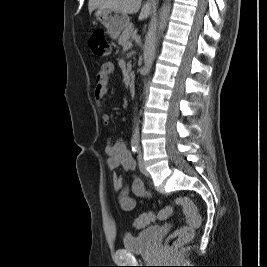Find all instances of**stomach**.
<instances>
[{
    "label": "stomach",
    "instance_id": "obj_1",
    "mask_svg": "<svg viewBox=\"0 0 267 267\" xmlns=\"http://www.w3.org/2000/svg\"><path fill=\"white\" fill-rule=\"evenodd\" d=\"M95 17L106 28L107 33L112 39H117L130 23L127 15L105 8H97L95 10Z\"/></svg>",
    "mask_w": 267,
    "mask_h": 267
}]
</instances>
